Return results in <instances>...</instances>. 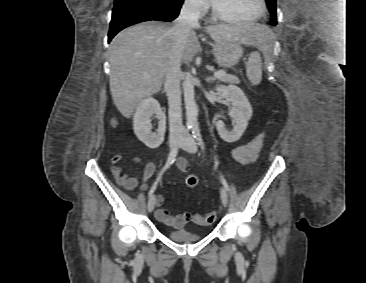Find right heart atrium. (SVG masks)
Masks as SVG:
<instances>
[{
    "instance_id": "right-heart-atrium-1",
    "label": "right heart atrium",
    "mask_w": 366,
    "mask_h": 283,
    "mask_svg": "<svg viewBox=\"0 0 366 283\" xmlns=\"http://www.w3.org/2000/svg\"><path fill=\"white\" fill-rule=\"evenodd\" d=\"M186 8L197 15H201L206 11L207 0H185Z\"/></svg>"
}]
</instances>
